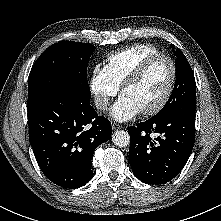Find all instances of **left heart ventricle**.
<instances>
[{
    "label": "left heart ventricle",
    "instance_id": "1",
    "mask_svg": "<svg viewBox=\"0 0 221 221\" xmlns=\"http://www.w3.org/2000/svg\"><path fill=\"white\" fill-rule=\"evenodd\" d=\"M171 78V65L167 59L158 58L146 69L140 79L126 88L123 95L129 97L140 111L155 106L165 94Z\"/></svg>",
    "mask_w": 221,
    "mask_h": 221
}]
</instances>
